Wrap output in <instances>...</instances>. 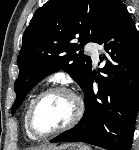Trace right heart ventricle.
<instances>
[{
  "label": "right heart ventricle",
  "instance_id": "obj_1",
  "mask_svg": "<svg viewBox=\"0 0 139 150\" xmlns=\"http://www.w3.org/2000/svg\"><path fill=\"white\" fill-rule=\"evenodd\" d=\"M33 99H34V98L30 99V101H29V103H28V105H27V107H26L25 114H24V126H25V130H26V133H27L28 137L31 138V139H36V138L29 132V130H28V128H27V114H28V110H29V107H30V105H31V103H32V101H33Z\"/></svg>",
  "mask_w": 139,
  "mask_h": 150
}]
</instances>
